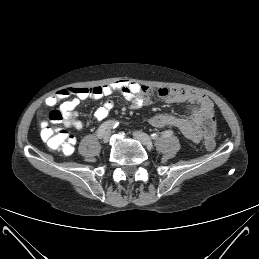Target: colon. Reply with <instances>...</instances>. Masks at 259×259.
<instances>
[{"label": "colon", "instance_id": "5ec220e1", "mask_svg": "<svg viewBox=\"0 0 259 259\" xmlns=\"http://www.w3.org/2000/svg\"><path fill=\"white\" fill-rule=\"evenodd\" d=\"M65 123V117L61 110L54 109L50 111L45 121L41 123V135L48 146L57 149L65 155H69L74 150L75 139L61 125ZM205 147L209 150L215 146L216 122L211 117L204 121Z\"/></svg>", "mask_w": 259, "mask_h": 259}]
</instances>
